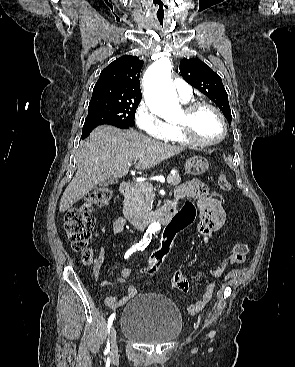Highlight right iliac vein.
Wrapping results in <instances>:
<instances>
[{
    "label": "right iliac vein",
    "mask_w": 295,
    "mask_h": 367,
    "mask_svg": "<svg viewBox=\"0 0 295 367\" xmlns=\"http://www.w3.org/2000/svg\"><path fill=\"white\" fill-rule=\"evenodd\" d=\"M110 355L115 357L118 353V346H117V332L114 327L111 330V340H110Z\"/></svg>",
    "instance_id": "right-iliac-vein-1"
}]
</instances>
